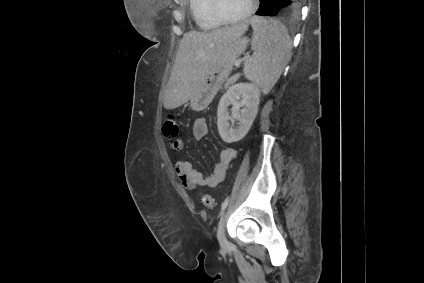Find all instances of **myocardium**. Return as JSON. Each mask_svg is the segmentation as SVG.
<instances>
[{"label": "myocardium", "mask_w": 424, "mask_h": 283, "mask_svg": "<svg viewBox=\"0 0 424 283\" xmlns=\"http://www.w3.org/2000/svg\"><path fill=\"white\" fill-rule=\"evenodd\" d=\"M257 8V0H250V6L245 13L238 17H227L225 16L220 8V0H209V12L213 19L221 24H235L246 21L252 16Z\"/></svg>", "instance_id": "1"}]
</instances>
